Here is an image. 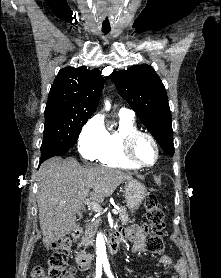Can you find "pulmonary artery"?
I'll use <instances>...</instances> for the list:
<instances>
[{
	"mask_svg": "<svg viewBox=\"0 0 221 278\" xmlns=\"http://www.w3.org/2000/svg\"><path fill=\"white\" fill-rule=\"evenodd\" d=\"M119 115L120 116H124V117H128V118H133L135 113L133 110L131 109H128V108H125V107H122L120 110H119Z\"/></svg>",
	"mask_w": 221,
	"mask_h": 278,
	"instance_id": "pulmonary-artery-1",
	"label": "pulmonary artery"
}]
</instances>
